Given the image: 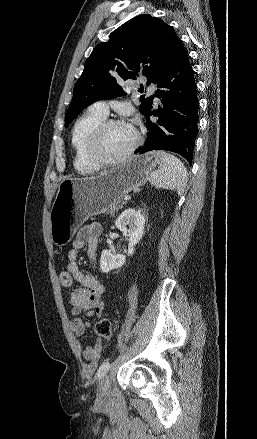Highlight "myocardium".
<instances>
[{"label": "myocardium", "instance_id": "1", "mask_svg": "<svg viewBox=\"0 0 257 439\" xmlns=\"http://www.w3.org/2000/svg\"><path fill=\"white\" fill-rule=\"evenodd\" d=\"M120 124H128L133 126L131 123L123 120V119H105L100 124H98L95 129L92 131L89 140H88V153L92 161L97 165H107L121 162L128 158L141 144L142 135L140 131L134 127L136 132V138L134 142L122 153L113 157L106 158L103 156L101 152V143L105 132L114 125Z\"/></svg>", "mask_w": 257, "mask_h": 439}]
</instances>
